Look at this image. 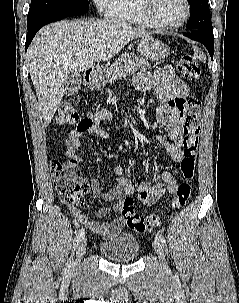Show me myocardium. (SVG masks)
Masks as SVG:
<instances>
[{
  "mask_svg": "<svg viewBox=\"0 0 239 303\" xmlns=\"http://www.w3.org/2000/svg\"><path fill=\"white\" fill-rule=\"evenodd\" d=\"M138 5L139 13L146 20V22L154 28L162 29V30H173L181 27L183 24L187 22L191 14V5L189 0H183L185 4V15L184 17L172 24H164L157 21L153 15V7L155 0H136Z\"/></svg>",
  "mask_w": 239,
  "mask_h": 303,
  "instance_id": "f54148a6",
  "label": "myocardium"
}]
</instances>
